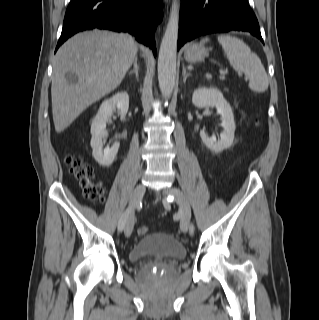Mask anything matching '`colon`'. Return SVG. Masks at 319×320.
<instances>
[{
    "label": "colon",
    "instance_id": "5ec220e1",
    "mask_svg": "<svg viewBox=\"0 0 319 320\" xmlns=\"http://www.w3.org/2000/svg\"><path fill=\"white\" fill-rule=\"evenodd\" d=\"M66 162L70 166L74 176L79 180L85 198L93 203L101 202L104 192L101 185L94 181L93 168L81 157L75 155H69ZM137 232L139 235H145L148 232V228L140 226Z\"/></svg>",
    "mask_w": 319,
    "mask_h": 320
}]
</instances>
